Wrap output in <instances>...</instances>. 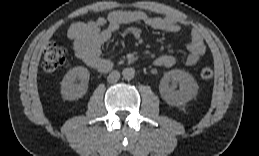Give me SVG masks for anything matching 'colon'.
<instances>
[{"instance_id": "colon-1", "label": "colon", "mask_w": 259, "mask_h": 156, "mask_svg": "<svg viewBox=\"0 0 259 156\" xmlns=\"http://www.w3.org/2000/svg\"><path fill=\"white\" fill-rule=\"evenodd\" d=\"M66 49L54 42L49 43L42 56V68L47 73H53L64 66L66 62ZM200 76L204 80L213 77V70L210 67H204L200 71Z\"/></svg>"}]
</instances>
